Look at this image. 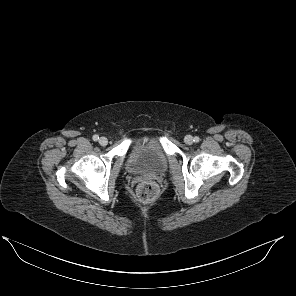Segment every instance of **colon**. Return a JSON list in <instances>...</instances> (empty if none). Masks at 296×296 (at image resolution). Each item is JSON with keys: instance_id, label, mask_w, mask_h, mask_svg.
I'll use <instances>...</instances> for the list:
<instances>
[{"instance_id": "1", "label": "colon", "mask_w": 296, "mask_h": 296, "mask_svg": "<svg viewBox=\"0 0 296 296\" xmlns=\"http://www.w3.org/2000/svg\"><path fill=\"white\" fill-rule=\"evenodd\" d=\"M159 193L158 186L155 182H142L137 187V196L143 203H150L154 201Z\"/></svg>"}]
</instances>
